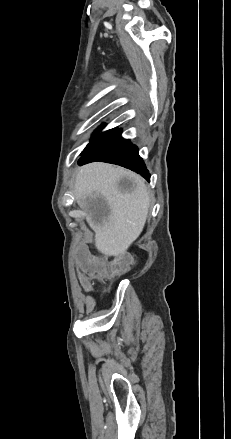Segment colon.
I'll use <instances>...</instances> for the list:
<instances>
[{
  "instance_id": "obj_1",
  "label": "colon",
  "mask_w": 231,
  "mask_h": 439,
  "mask_svg": "<svg viewBox=\"0 0 231 439\" xmlns=\"http://www.w3.org/2000/svg\"><path fill=\"white\" fill-rule=\"evenodd\" d=\"M82 258H78L77 265L79 269V283L83 285L85 291L90 292L93 289L92 278L104 279L123 273L128 263L125 260L118 262H105L95 255L91 254V248L84 245L80 251Z\"/></svg>"
}]
</instances>
